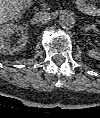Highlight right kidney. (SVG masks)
<instances>
[{"mask_svg": "<svg viewBox=\"0 0 100 118\" xmlns=\"http://www.w3.org/2000/svg\"><path fill=\"white\" fill-rule=\"evenodd\" d=\"M15 32L20 33V37L11 44L10 37ZM27 39L28 36L25 28L17 26L14 23L4 24L0 29V52L2 54H13L18 52L26 45Z\"/></svg>", "mask_w": 100, "mask_h": 118, "instance_id": "1", "label": "right kidney"}]
</instances>
